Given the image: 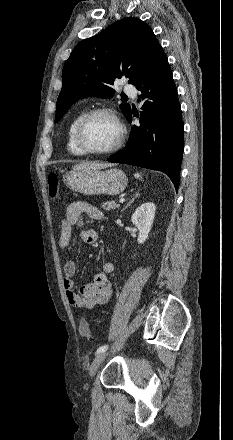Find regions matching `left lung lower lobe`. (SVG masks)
<instances>
[{"label": "left lung lower lobe", "instance_id": "1", "mask_svg": "<svg viewBox=\"0 0 233 440\" xmlns=\"http://www.w3.org/2000/svg\"><path fill=\"white\" fill-rule=\"evenodd\" d=\"M141 91L140 126H133L126 147L109 162L162 171L179 187L183 155V129L177 88L164 51L153 61L147 75L136 85ZM132 121V112L126 117Z\"/></svg>", "mask_w": 233, "mask_h": 440}]
</instances>
